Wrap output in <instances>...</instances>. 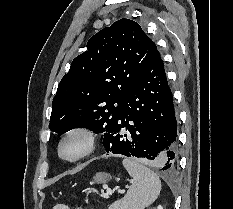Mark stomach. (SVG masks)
<instances>
[{"label":"stomach","instance_id":"obj_1","mask_svg":"<svg viewBox=\"0 0 233 209\" xmlns=\"http://www.w3.org/2000/svg\"><path fill=\"white\" fill-rule=\"evenodd\" d=\"M109 179H111V176L109 174H107V173H104V172H98L93 177L94 182L97 183V184L105 183Z\"/></svg>","mask_w":233,"mask_h":209}]
</instances>
